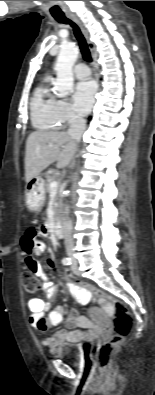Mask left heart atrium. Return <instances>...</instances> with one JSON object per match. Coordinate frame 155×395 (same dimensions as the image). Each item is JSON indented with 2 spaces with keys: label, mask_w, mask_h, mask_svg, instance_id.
Wrapping results in <instances>:
<instances>
[{
  "label": "left heart atrium",
  "mask_w": 155,
  "mask_h": 395,
  "mask_svg": "<svg viewBox=\"0 0 155 395\" xmlns=\"http://www.w3.org/2000/svg\"><path fill=\"white\" fill-rule=\"evenodd\" d=\"M97 92V85L93 80L79 82L73 93V101L76 110L81 114L90 111Z\"/></svg>",
  "instance_id": "left-heart-atrium-1"
}]
</instances>
